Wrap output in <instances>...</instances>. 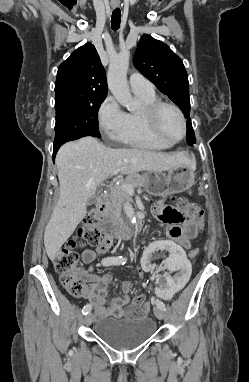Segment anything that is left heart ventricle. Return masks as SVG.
<instances>
[{
	"label": "left heart ventricle",
	"mask_w": 249,
	"mask_h": 382,
	"mask_svg": "<svg viewBox=\"0 0 249 382\" xmlns=\"http://www.w3.org/2000/svg\"><path fill=\"white\" fill-rule=\"evenodd\" d=\"M159 125L163 133L172 138L177 139L183 133L181 120L177 113L171 108H163L159 115Z\"/></svg>",
	"instance_id": "b2bd125f"
}]
</instances>
